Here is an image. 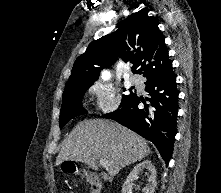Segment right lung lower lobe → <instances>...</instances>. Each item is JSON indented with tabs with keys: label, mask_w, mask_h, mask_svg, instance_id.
Segmentation results:
<instances>
[{
	"label": "right lung lower lobe",
	"mask_w": 221,
	"mask_h": 193,
	"mask_svg": "<svg viewBox=\"0 0 221 193\" xmlns=\"http://www.w3.org/2000/svg\"><path fill=\"white\" fill-rule=\"evenodd\" d=\"M146 78L145 90L150 95L147 100L151 105L140 109L138 105L143 100L135 94L120 109L102 117L113 119L150 140L168 165L173 152L179 108L176 76L171 67Z\"/></svg>",
	"instance_id": "1"
}]
</instances>
